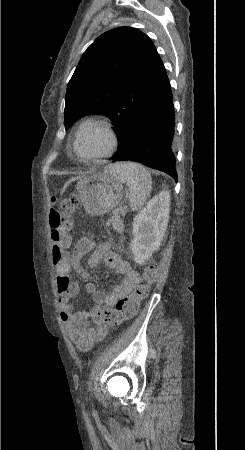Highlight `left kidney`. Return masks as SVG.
Listing matches in <instances>:
<instances>
[{"mask_svg":"<svg viewBox=\"0 0 245 450\" xmlns=\"http://www.w3.org/2000/svg\"><path fill=\"white\" fill-rule=\"evenodd\" d=\"M170 210L168 191H160L133 220L130 249L134 261L143 265L159 249L165 234Z\"/></svg>","mask_w":245,"mask_h":450,"instance_id":"left-kidney-1","label":"left kidney"}]
</instances>
